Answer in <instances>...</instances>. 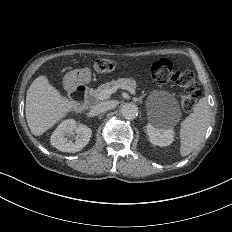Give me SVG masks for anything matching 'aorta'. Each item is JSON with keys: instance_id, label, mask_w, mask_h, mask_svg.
<instances>
[{"instance_id": "aorta-1", "label": "aorta", "mask_w": 232, "mask_h": 232, "mask_svg": "<svg viewBox=\"0 0 232 232\" xmlns=\"http://www.w3.org/2000/svg\"><path fill=\"white\" fill-rule=\"evenodd\" d=\"M121 113L125 118L133 119L138 115V107L133 103H126L122 105Z\"/></svg>"}]
</instances>
